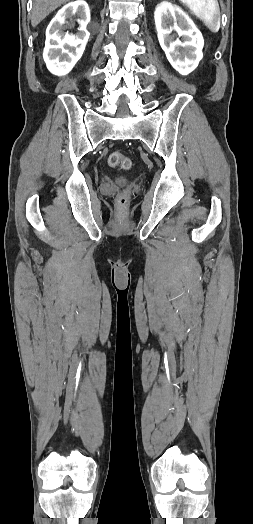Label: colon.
<instances>
[{
	"mask_svg": "<svg viewBox=\"0 0 253 524\" xmlns=\"http://www.w3.org/2000/svg\"><path fill=\"white\" fill-rule=\"evenodd\" d=\"M108 165L111 167H120L129 169L132 167V161L124 157L119 151H113L108 156ZM129 193L127 191L121 192L117 198L119 206L124 207L128 203Z\"/></svg>",
	"mask_w": 253,
	"mask_h": 524,
	"instance_id": "obj_1",
	"label": "colon"
}]
</instances>
